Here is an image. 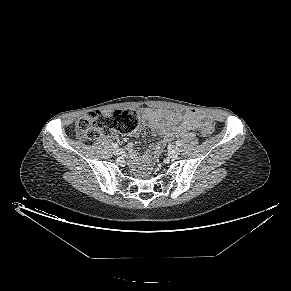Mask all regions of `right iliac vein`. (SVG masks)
Wrapping results in <instances>:
<instances>
[{"label": "right iliac vein", "mask_w": 291, "mask_h": 291, "mask_svg": "<svg viewBox=\"0 0 291 291\" xmlns=\"http://www.w3.org/2000/svg\"><path fill=\"white\" fill-rule=\"evenodd\" d=\"M122 153H123V150L120 149V148H116V149L114 150V154H115L116 156H120Z\"/></svg>", "instance_id": "1"}]
</instances>
